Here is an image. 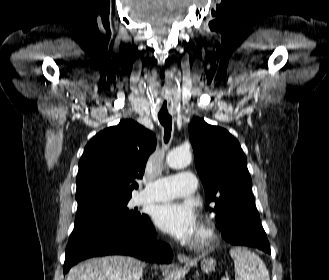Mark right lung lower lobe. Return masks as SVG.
<instances>
[{"mask_svg": "<svg viewBox=\"0 0 329 280\" xmlns=\"http://www.w3.org/2000/svg\"><path fill=\"white\" fill-rule=\"evenodd\" d=\"M104 255H129L166 264L172 260L170 246L156 241V231L149 218L136 228L97 219L73 229L66 247L64 274L84 259Z\"/></svg>", "mask_w": 329, "mask_h": 280, "instance_id": "right-lung-lower-lobe-1", "label": "right lung lower lobe"}]
</instances>
